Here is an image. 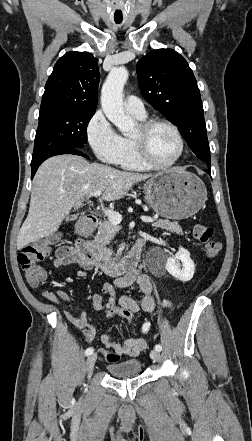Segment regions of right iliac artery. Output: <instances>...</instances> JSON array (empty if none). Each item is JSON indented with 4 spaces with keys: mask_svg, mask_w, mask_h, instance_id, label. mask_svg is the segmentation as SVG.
Wrapping results in <instances>:
<instances>
[{
    "mask_svg": "<svg viewBox=\"0 0 252 441\" xmlns=\"http://www.w3.org/2000/svg\"><path fill=\"white\" fill-rule=\"evenodd\" d=\"M93 352H94V349H93V348H91V347H90V348H87L86 351H85V355H86V356L91 355V354H93Z\"/></svg>",
    "mask_w": 252,
    "mask_h": 441,
    "instance_id": "82829eb1",
    "label": "right iliac artery"
}]
</instances>
